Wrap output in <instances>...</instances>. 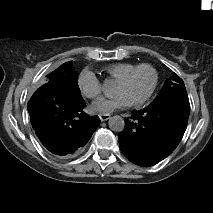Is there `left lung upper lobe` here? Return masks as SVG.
<instances>
[{
    "label": "left lung upper lobe",
    "mask_w": 213,
    "mask_h": 213,
    "mask_svg": "<svg viewBox=\"0 0 213 213\" xmlns=\"http://www.w3.org/2000/svg\"><path fill=\"white\" fill-rule=\"evenodd\" d=\"M164 103H175L183 109L190 111L189 99L184 82L176 74L171 76L169 80H166L159 95L149 106L156 107Z\"/></svg>",
    "instance_id": "obj_1"
}]
</instances>
